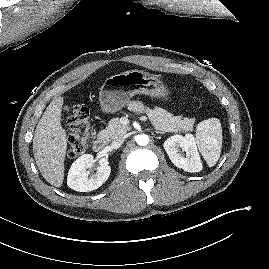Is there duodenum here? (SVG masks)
Returning a JSON list of instances; mask_svg holds the SVG:
<instances>
[{
	"instance_id": "1",
	"label": "duodenum",
	"mask_w": 269,
	"mask_h": 269,
	"mask_svg": "<svg viewBox=\"0 0 269 269\" xmlns=\"http://www.w3.org/2000/svg\"><path fill=\"white\" fill-rule=\"evenodd\" d=\"M106 145H107L106 139L103 137H99V138L94 140L93 149L96 152H101L105 149Z\"/></svg>"
}]
</instances>
